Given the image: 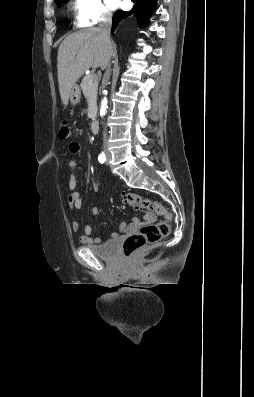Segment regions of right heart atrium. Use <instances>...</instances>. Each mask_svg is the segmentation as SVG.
Here are the masks:
<instances>
[{
	"label": "right heart atrium",
	"instance_id": "1",
	"mask_svg": "<svg viewBox=\"0 0 254 397\" xmlns=\"http://www.w3.org/2000/svg\"><path fill=\"white\" fill-rule=\"evenodd\" d=\"M75 21L79 27H90L110 18L102 0H75Z\"/></svg>",
	"mask_w": 254,
	"mask_h": 397
}]
</instances>
